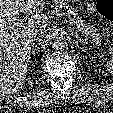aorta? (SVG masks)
I'll return each mask as SVG.
<instances>
[{"label": "aorta", "instance_id": "762f6f07", "mask_svg": "<svg viewBox=\"0 0 113 113\" xmlns=\"http://www.w3.org/2000/svg\"><path fill=\"white\" fill-rule=\"evenodd\" d=\"M68 41V35L65 31L56 30L49 38L48 43L53 49H62Z\"/></svg>", "mask_w": 113, "mask_h": 113}]
</instances>
